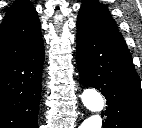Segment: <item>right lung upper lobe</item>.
<instances>
[{"instance_id":"1","label":"right lung upper lobe","mask_w":142,"mask_h":128,"mask_svg":"<svg viewBox=\"0 0 142 128\" xmlns=\"http://www.w3.org/2000/svg\"><path fill=\"white\" fill-rule=\"evenodd\" d=\"M42 41L34 6L26 0L15 1L0 26V67L31 52Z\"/></svg>"}]
</instances>
